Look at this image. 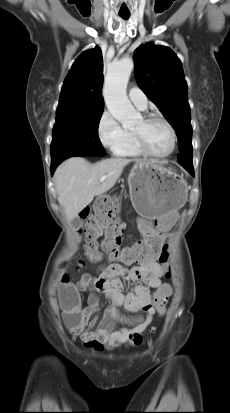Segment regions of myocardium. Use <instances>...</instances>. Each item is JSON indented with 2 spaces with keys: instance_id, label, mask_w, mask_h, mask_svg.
Returning <instances> with one entry per match:
<instances>
[{
  "instance_id": "f54148a6",
  "label": "myocardium",
  "mask_w": 230,
  "mask_h": 413,
  "mask_svg": "<svg viewBox=\"0 0 230 413\" xmlns=\"http://www.w3.org/2000/svg\"><path fill=\"white\" fill-rule=\"evenodd\" d=\"M143 120L145 122H151V121H154V120H158V121L163 122L168 127V129L170 131L171 146H170V149L167 152L157 153V152H155V151H153L149 148V146L146 144L145 140L143 139V137L140 133L134 131L133 132L134 137H135V139L138 143V146L142 150V152L149 155V156L155 157V158H166V157H169L170 155H172L174 153V151L176 149V145H177V133H176V130H175L174 126L172 125V123L168 119H166L165 117H163L159 114H155V113L147 115L146 117L143 118Z\"/></svg>"
}]
</instances>
